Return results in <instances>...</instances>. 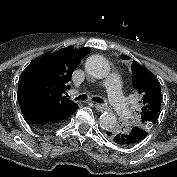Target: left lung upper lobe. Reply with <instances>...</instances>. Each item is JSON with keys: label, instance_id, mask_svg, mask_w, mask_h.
Returning <instances> with one entry per match:
<instances>
[{"label": "left lung upper lobe", "instance_id": "5c2ea615", "mask_svg": "<svg viewBox=\"0 0 177 177\" xmlns=\"http://www.w3.org/2000/svg\"><path fill=\"white\" fill-rule=\"evenodd\" d=\"M134 87L140 97L141 111L136 126L149 131L156 124L161 110V88L158 79L138 62L132 63Z\"/></svg>", "mask_w": 177, "mask_h": 177}]
</instances>
